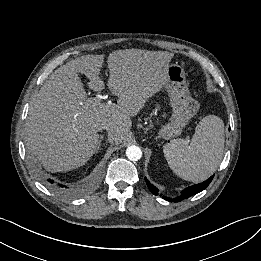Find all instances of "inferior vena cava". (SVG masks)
Instances as JSON below:
<instances>
[{"instance_id": "1", "label": "inferior vena cava", "mask_w": 261, "mask_h": 261, "mask_svg": "<svg viewBox=\"0 0 261 261\" xmlns=\"http://www.w3.org/2000/svg\"><path fill=\"white\" fill-rule=\"evenodd\" d=\"M102 129H107L105 126H102L101 128H100V130H102Z\"/></svg>"}]
</instances>
